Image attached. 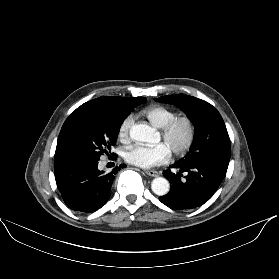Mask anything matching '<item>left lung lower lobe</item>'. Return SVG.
<instances>
[{"mask_svg":"<svg viewBox=\"0 0 279 279\" xmlns=\"http://www.w3.org/2000/svg\"><path fill=\"white\" fill-rule=\"evenodd\" d=\"M170 168L187 172L186 179L182 180L181 173L175 175L170 169L163 171L171 190L159 200L174 210L193 209L206 203L218 189L227 171L205 161L183 165L174 163Z\"/></svg>","mask_w":279,"mask_h":279,"instance_id":"0a47b994","label":"left lung lower lobe"}]
</instances>
